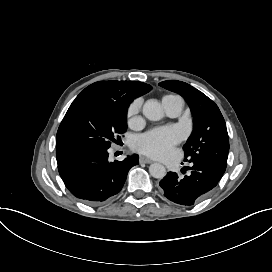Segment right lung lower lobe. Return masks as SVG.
I'll return each instance as SVG.
<instances>
[{"label":"right lung lower lobe","mask_w":272,"mask_h":272,"mask_svg":"<svg viewBox=\"0 0 272 272\" xmlns=\"http://www.w3.org/2000/svg\"><path fill=\"white\" fill-rule=\"evenodd\" d=\"M107 149L74 148L57 151L59 174L73 196L88 205H100L117 195L138 155L109 162Z\"/></svg>","instance_id":"right-lung-lower-lobe-1"}]
</instances>
